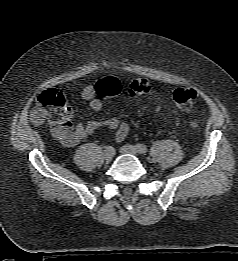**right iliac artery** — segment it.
<instances>
[{
  "label": "right iliac artery",
  "mask_w": 238,
  "mask_h": 261,
  "mask_svg": "<svg viewBox=\"0 0 238 261\" xmlns=\"http://www.w3.org/2000/svg\"><path fill=\"white\" fill-rule=\"evenodd\" d=\"M106 149H107V151L108 152H113V150H114V146L113 145H110V146H108V147H106Z\"/></svg>",
  "instance_id": "1"
}]
</instances>
